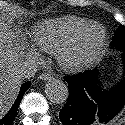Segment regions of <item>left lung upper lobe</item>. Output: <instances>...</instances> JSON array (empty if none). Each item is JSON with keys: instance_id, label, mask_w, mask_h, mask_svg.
<instances>
[{"instance_id": "left-lung-upper-lobe-1", "label": "left lung upper lobe", "mask_w": 125, "mask_h": 125, "mask_svg": "<svg viewBox=\"0 0 125 125\" xmlns=\"http://www.w3.org/2000/svg\"><path fill=\"white\" fill-rule=\"evenodd\" d=\"M116 47L125 51V27L120 25L113 38Z\"/></svg>"}]
</instances>
